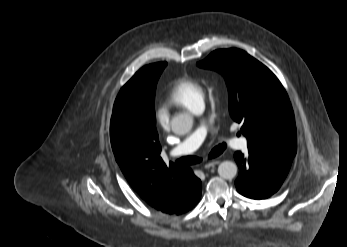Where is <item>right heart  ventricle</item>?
Masks as SVG:
<instances>
[{
	"mask_svg": "<svg viewBox=\"0 0 347 247\" xmlns=\"http://www.w3.org/2000/svg\"><path fill=\"white\" fill-rule=\"evenodd\" d=\"M204 95V88L198 81L190 77H181L171 84L165 102L193 111L198 103L203 102Z\"/></svg>",
	"mask_w": 347,
	"mask_h": 247,
	"instance_id": "e07e8e85",
	"label": "right heart ventricle"
}]
</instances>
